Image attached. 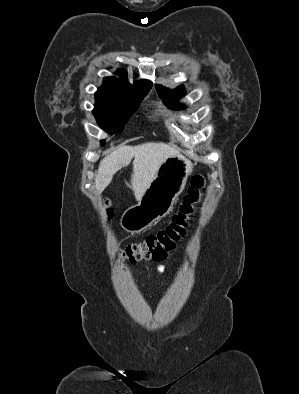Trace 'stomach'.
Here are the masks:
<instances>
[{
	"label": "stomach",
	"instance_id": "1",
	"mask_svg": "<svg viewBox=\"0 0 299 394\" xmlns=\"http://www.w3.org/2000/svg\"><path fill=\"white\" fill-rule=\"evenodd\" d=\"M192 170V163L180 154L167 158L139 203L123 213L122 227L127 232H140L169 214Z\"/></svg>",
	"mask_w": 299,
	"mask_h": 394
}]
</instances>
